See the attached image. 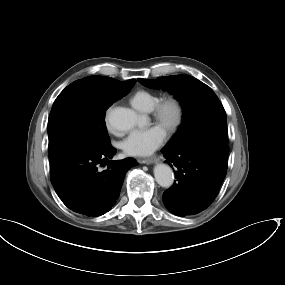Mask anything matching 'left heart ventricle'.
<instances>
[{
    "label": "left heart ventricle",
    "instance_id": "1",
    "mask_svg": "<svg viewBox=\"0 0 285 285\" xmlns=\"http://www.w3.org/2000/svg\"><path fill=\"white\" fill-rule=\"evenodd\" d=\"M166 116H167V119H168V120L172 119V117H173V110H172L171 108H169V109L167 110Z\"/></svg>",
    "mask_w": 285,
    "mask_h": 285
}]
</instances>
